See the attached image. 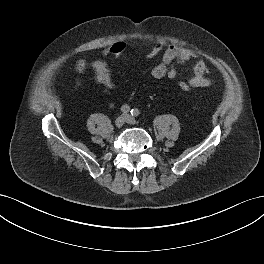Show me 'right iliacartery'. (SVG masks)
Segmentation results:
<instances>
[{
  "label": "right iliac artery",
  "mask_w": 264,
  "mask_h": 264,
  "mask_svg": "<svg viewBox=\"0 0 264 264\" xmlns=\"http://www.w3.org/2000/svg\"><path fill=\"white\" fill-rule=\"evenodd\" d=\"M121 111H122L123 113H128V112L130 111V107H129L128 105H123V106L121 107Z\"/></svg>",
  "instance_id": "1"
}]
</instances>
